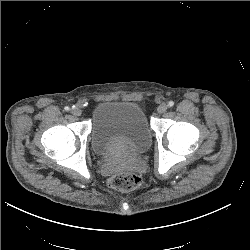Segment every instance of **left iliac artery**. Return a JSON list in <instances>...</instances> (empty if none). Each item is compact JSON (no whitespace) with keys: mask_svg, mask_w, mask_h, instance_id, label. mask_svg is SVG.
I'll return each instance as SVG.
<instances>
[{"mask_svg":"<svg viewBox=\"0 0 250 250\" xmlns=\"http://www.w3.org/2000/svg\"><path fill=\"white\" fill-rule=\"evenodd\" d=\"M173 106H174V102H173V101H169V102H168V107L171 108V107H173Z\"/></svg>","mask_w":250,"mask_h":250,"instance_id":"left-iliac-artery-1","label":"left iliac artery"}]
</instances>
